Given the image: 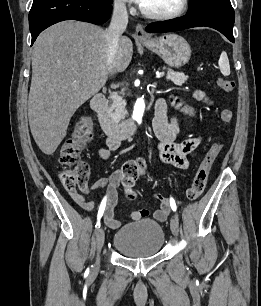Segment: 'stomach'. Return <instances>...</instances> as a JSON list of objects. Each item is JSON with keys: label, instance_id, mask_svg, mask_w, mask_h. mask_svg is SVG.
Listing matches in <instances>:
<instances>
[{"label": "stomach", "instance_id": "0dacf381", "mask_svg": "<svg viewBox=\"0 0 261 306\" xmlns=\"http://www.w3.org/2000/svg\"><path fill=\"white\" fill-rule=\"evenodd\" d=\"M142 44L159 55L170 67L180 68L191 57V48L188 42L174 33L164 34L150 41H142Z\"/></svg>", "mask_w": 261, "mask_h": 306}]
</instances>
